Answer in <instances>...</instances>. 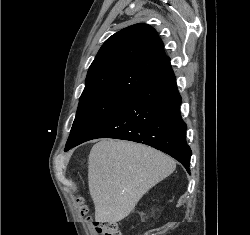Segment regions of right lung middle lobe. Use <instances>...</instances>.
Segmentation results:
<instances>
[{
  "label": "right lung middle lobe",
  "instance_id": "1",
  "mask_svg": "<svg viewBox=\"0 0 250 235\" xmlns=\"http://www.w3.org/2000/svg\"><path fill=\"white\" fill-rule=\"evenodd\" d=\"M131 94H96L81 98L66 146L76 143L92 127L122 106Z\"/></svg>",
  "mask_w": 250,
  "mask_h": 235
}]
</instances>
